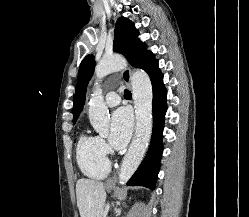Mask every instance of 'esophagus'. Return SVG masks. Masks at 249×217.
<instances>
[{
  "instance_id": "1",
  "label": "esophagus",
  "mask_w": 249,
  "mask_h": 217,
  "mask_svg": "<svg viewBox=\"0 0 249 217\" xmlns=\"http://www.w3.org/2000/svg\"><path fill=\"white\" fill-rule=\"evenodd\" d=\"M121 74H122L123 79H124L126 82H128V83L131 82L132 72H131V69H130V68H125V69H123L122 72H121ZM116 181H117V177H116V176H113V177H111V178L107 181L106 184L111 186V185H114V184L116 183Z\"/></svg>"
}]
</instances>
